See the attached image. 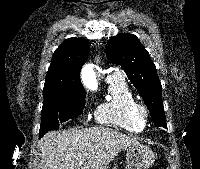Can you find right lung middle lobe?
Listing matches in <instances>:
<instances>
[{
	"label": "right lung middle lobe",
	"mask_w": 200,
	"mask_h": 169,
	"mask_svg": "<svg viewBox=\"0 0 200 169\" xmlns=\"http://www.w3.org/2000/svg\"><path fill=\"white\" fill-rule=\"evenodd\" d=\"M86 93L44 98L39 137L49 130L57 129L59 124L73 119L83 111Z\"/></svg>",
	"instance_id": "1"
}]
</instances>
